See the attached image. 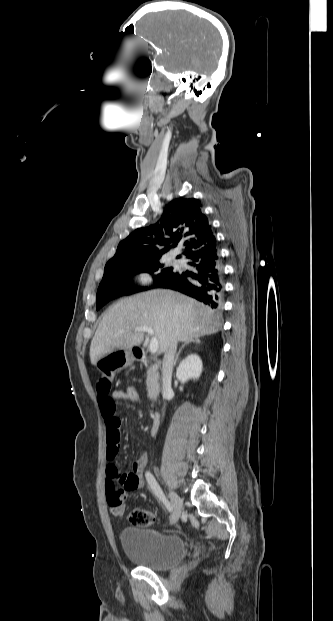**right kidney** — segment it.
Instances as JSON below:
<instances>
[{
	"label": "right kidney",
	"mask_w": 333,
	"mask_h": 621,
	"mask_svg": "<svg viewBox=\"0 0 333 621\" xmlns=\"http://www.w3.org/2000/svg\"><path fill=\"white\" fill-rule=\"evenodd\" d=\"M202 369L203 364L200 357L196 354H190L179 364L176 377L181 383H185L189 379L195 380L200 377Z\"/></svg>",
	"instance_id": "right-kidney-1"
}]
</instances>
